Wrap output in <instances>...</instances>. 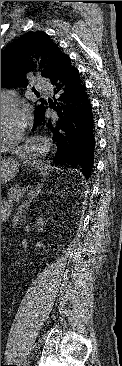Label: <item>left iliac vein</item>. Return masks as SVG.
I'll list each match as a JSON object with an SVG mask.
<instances>
[{"label": "left iliac vein", "mask_w": 122, "mask_h": 366, "mask_svg": "<svg viewBox=\"0 0 122 366\" xmlns=\"http://www.w3.org/2000/svg\"><path fill=\"white\" fill-rule=\"evenodd\" d=\"M24 365L26 366L27 365V361L24 362Z\"/></svg>", "instance_id": "left-iliac-vein-1"}]
</instances>
